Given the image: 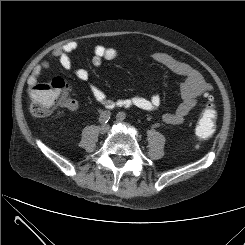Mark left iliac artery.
Here are the masks:
<instances>
[{
	"instance_id": "left-iliac-artery-1",
	"label": "left iliac artery",
	"mask_w": 245,
	"mask_h": 245,
	"mask_svg": "<svg viewBox=\"0 0 245 245\" xmlns=\"http://www.w3.org/2000/svg\"><path fill=\"white\" fill-rule=\"evenodd\" d=\"M117 117H119V118H121V119H125L126 118V114L124 113V112H119L118 114H117Z\"/></svg>"
}]
</instances>
